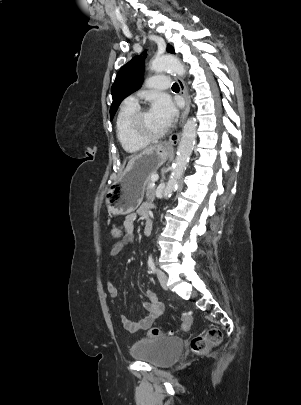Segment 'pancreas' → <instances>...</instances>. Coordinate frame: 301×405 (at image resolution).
I'll return each instance as SVG.
<instances>
[{"instance_id":"pancreas-1","label":"pancreas","mask_w":301,"mask_h":405,"mask_svg":"<svg viewBox=\"0 0 301 405\" xmlns=\"http://www.w3.org/2000/svg\"><path fill=\"white\" fill-rule=\"evenodd\" d=\"M152 176L153 175H151V177ZM151 177L146 187V198L148 201H153L155 199V188L152 186L153 181L151 180Z\"/></svg>"}]
</instances>
